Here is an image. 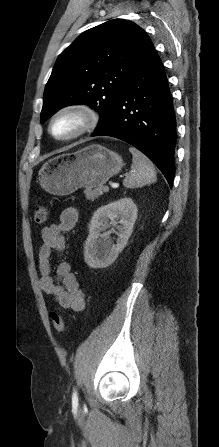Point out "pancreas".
Wrapping results in <instances>:
<instances>
[{"instance_id": "1", "label": "pancreas", "mask_w": 219, "mask_h": 447, "mask_svg": "<svg viewBox=\"0 0 219 447\" xmlns=\"http://www.w3.org/2000/svg\"><path fill=\"white\" fill-rule=\"evenodd\" d=\"M84 193L88 200L94 201L103 194V190L101 187H97L95 189L87 188Z\"/></svg>"}]
</instances>
